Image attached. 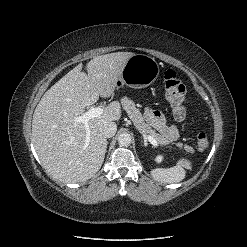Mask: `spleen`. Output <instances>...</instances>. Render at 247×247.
<instances>
[{
	"label": "spleen",
	"mask_w": 247,
	"mask_h": 247,
	"mask_svg": "<svg viewBox=\"0 0 247 247\" xmlns=\"http://www.w3.org/2000/svg\"><path fill=\"white\" fill-rule=\"evenodd\" d=\"M185 168H189L186 160H179L177 164L170 168H155L151 171L154 180L162 183H178L186 176Z\"/></svg>",
	"instance_id": "3e777b00"
}]
</instances>
